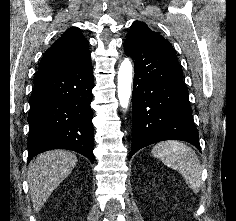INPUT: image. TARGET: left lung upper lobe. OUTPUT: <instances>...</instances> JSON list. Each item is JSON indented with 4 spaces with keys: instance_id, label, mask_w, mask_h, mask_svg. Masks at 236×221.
Here are the masks:
<instances>
[{
    "instance_id": "obj_1",
    "label": "left lung upper lobe",
    "mask_w": 236,
    "mask_h": 221,
    "mask_svg": "<svg viewBox=\"0 0 236 221\" xmlns=\"http://www.w3.org/2000/svg\"><path fill=\"white\" fill-rule=\"evenodd\" d=\"M130 34L141 35L145 37L146 39L160 45L161 47L166 48L175 53L172 45L166 39H164L160 35V33L154 32L151 29H149L148 26L144 22H140V21L133 22L130 32H129V35Z\"/></svg>"
}]
</instances>
